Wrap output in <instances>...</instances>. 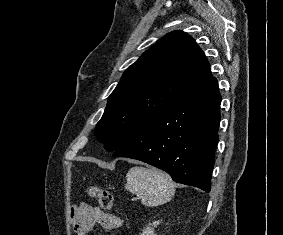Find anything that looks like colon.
Wrapping results in <instances>:
<instances>
[{"label": "colon", "instance_id": "1", "mask_svg": "<svg viewBox=\"0 0 283 235\" xmlns=\"http://www.w3.org/2000/svg\"><path fill=\"white\" fill-rule=\"evenodd\" d=\"M86 193L91 198L98 201L99 205L105 209L110 210L113 206V195L108 190L102 189L95 185H89L86 188Z\"/></svg>", "mask_w": 283, "mask_h": 235}]
</instances>
